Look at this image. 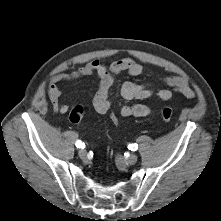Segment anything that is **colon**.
<instances>
[{
    "mask_svg": "<svg viewBox=\"0 0 221 221\" xmlns=\"http://www.w3.org/2000/svg\"><path fill=\"white\" fill-rule=\"evenodd\" d=\"M88 110L89 109L87 106H83V105L75 106L69 114V119L72 122L77 123L82 120V118L85 116ZM160 116L164 121L169 122L173 118V111L169 107H163L160 110ZM109 121L112 124L118 125L120 121V116L117 113H112L109 116Z\"/></svg>",
    "mask_w": 221,
    "mask_h": 221,
    "instance_id": "colon-1",
    "label": "colon"
}]
</instances>
